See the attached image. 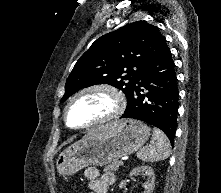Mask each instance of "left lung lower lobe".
Listing matches in <instances>:
<instances>
[{
	"label": "left lung lower lobe",
	"instance_id": "1",
	"mask_svg": "<svg viewBox=\"0 0 221 193\" xmlns=\"http://www.w3.org/2000/svg\"><path fill=\"white\" fill-rule=\"evenodd\" d=\"M178 100L175 65L166 45L137 76L122 117L138 119L158 127L166 133L173 146Z\"/></svg>",
	"mask_w": 221,
	"mask_h": 193
}]
</instances>
